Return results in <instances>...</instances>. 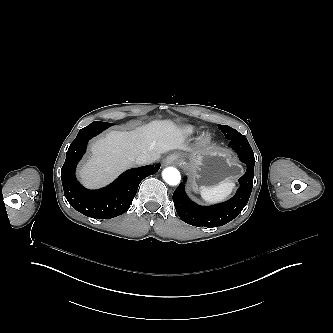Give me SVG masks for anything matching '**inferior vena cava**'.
Wrapping results in <instances>:
<instances>
[{
  "mask_svg": "<svg viewBox=\"0 0 333 333\" xmlns=\"http://www.w3.org/2000/svg\"><path fill=\"white\" fill-rule=\"evenodd\" d=\"M154 160L149 155H141L136 158L137 165H146L152 163Z\"/></svg>",
  "mask_w": 333,
  "mask_h": 333,
  "instance_id": "1",
  "label": "inferior vena cava"
}]
</instances>
